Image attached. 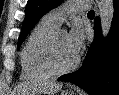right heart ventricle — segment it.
Returning a JSON list of instances; mask_svg holds the SVG:
<instances>
[{
	"instance_id": "e07e8e85",
	"label": "right heart ventricle",
	"mask_w": 119,
	"mask_h": 95,
	"mask_svg": "<svg viewBox=\"0 0 119 95\" xmlns=\"http://www.w3.org/2000/svg\"><path fill=\"white\" fill-rule=\"evenodd\" d=\"M58 25L43 17L29 34L20 54L21 74L26 80H44L52 76L47 69L43 52L50 35Z\"/></svg>"
}]
</instances>
